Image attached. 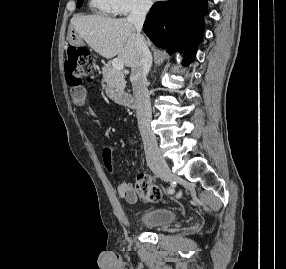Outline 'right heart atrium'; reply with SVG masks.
<instances>
[{"instance_id":"right-heart-atrium-1","label":"right heart atrium","mask_w":286,"mask_h":269,"mask_svg":"<svg viewBox=\"0 0 286 269\" xmlns=\"http://www.w3.org/2000/svg\"><path fill=\"white\" fill-rule=\"evenodd\" d=\"M117 15L126 16L133 13H145L151 7V0H112Z\"/></svg>"}]
</instances>
